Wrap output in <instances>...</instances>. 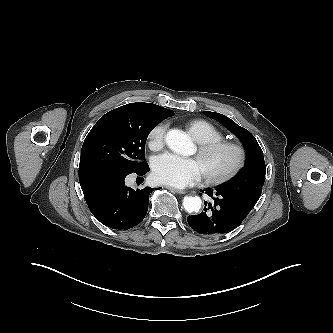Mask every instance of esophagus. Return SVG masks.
<instances>
[{"label": "esophagus", "mask_w": 333, "mask_h": 333, "mask_svg": "<svg viewBox=\"0 0 333 333\" xmlns=\"http://www.w3.org/2000/svg\"><path fill=\"white\" fill-rule=\"evenodd\" d=\"M166 188L171 190L172 192L177 193V194H185L186 193V191H184V190H179V189H176V188H173V187H170V186H167Z\"/></svg>", "instance_id": "obj_1"}]
</instances>
